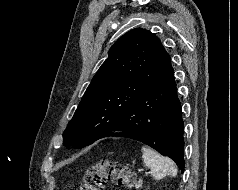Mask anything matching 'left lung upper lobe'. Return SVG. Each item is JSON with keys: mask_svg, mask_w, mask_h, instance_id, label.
Wrapping results in <instances>:
<instances>
[{"mask_svg": "<svg viewBox=\"0 0 238 190\" xmlns=\"http://www.w3.org/2000/svg\"><path fill=\"white\" fill-rule=\"evenodd\" d=\"M171 59L150 31L136 28L110 48L64 134V144L82 148L109 133Z\"/></svg>", "mask_w": 238, "mask_h": 190, "instance_id": "obj_1", "label": "left lung upper lobe"}]
</instances>
